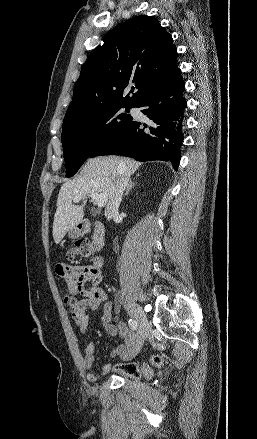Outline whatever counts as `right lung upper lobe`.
<instances>
[{"label":"right lung upper lobe","instance_id":"right-lung-upper-lobe-1","mask_svg":"<svg viewBox=\"0 0 257 439\" xmlns=\"http://www.w3.org/2000/svg\"><path fill=\"white\" fill-rule=\"evenodd\" d=\"M84 63L64 120L110 106L136 107L161 80L177 69L171 35L151 16L119 23ZM134 83L132 97L124 89Z\"/></svg>","mask_w":257,"mask_h":439}]
</instances>
